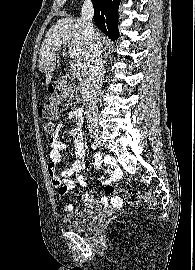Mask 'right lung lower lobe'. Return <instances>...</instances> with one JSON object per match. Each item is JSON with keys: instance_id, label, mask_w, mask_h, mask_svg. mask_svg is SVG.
Here are the masks:
<instances>
[{"instance_id": "obj_1", "label": "right lung lower lobe", "mask_w": 195, "mask_h": 270, "mask_svg": "<svg viewBox=\"0 0 195 270\" xmlns=\"http://www.w3.org/2000/svg\"><path fill=\"white\" fill-rule=\"evenodd\" d=\"M97 27L112 40L119 37L118 7L120 0H92Z\"/></svg>"}]
</instances>
